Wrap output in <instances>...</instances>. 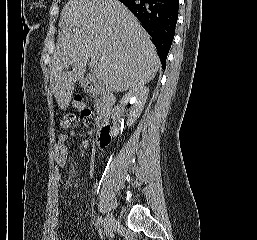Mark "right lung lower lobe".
<instances>
[{
    "mask_svg": "<svg viewBox=\"0 0 257 240\" xmlns=\"http://www.w3.org/2000/svg\"><path fill=\"white\" fill-rule=\"evenodd\" d=\"M139 19L152 37L158 55L165 68L178 19L179 0H119Z\"/></svg>",
    "mask_w": 257,
    "mask_h": 240,
    "instance_id": "obj_1",
    "label": "right lung lower lobe"
}]
</instances>
